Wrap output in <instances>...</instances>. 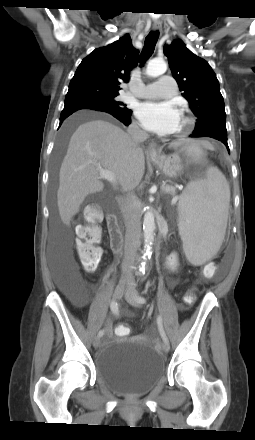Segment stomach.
<instances>
[{"instance_id":"0dacf381","label":"stomach","mask_w":255,"mask_h":440,"mask_svg":"<svg viewBox=\"0 0 255 440\" xmlns=\"http://www.w3.org/2000/svg\"><path fill=\"white\" fill-rule=\"evenodd\" d=\"M195 146L187 147V150L192 149ZM150 160L167 176L175 178L183 171L182 159L178 154H172L169 156L158 155L151 156Z\"/></svg>"}]
</instances>
